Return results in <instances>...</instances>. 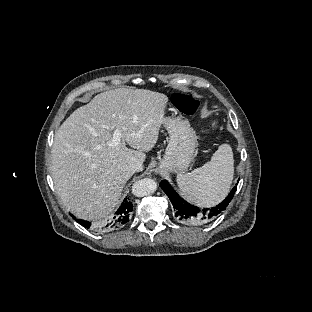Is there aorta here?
I'll list each match as a JSON object with an SVG mask.
<instances>
[{
  "label": "aorta",
  "mask_w": 312,
  "mask_h": 312,
  "mask_svg": "<svg viewBox=\"0 0 312 312\" xmlns=\"http://www.w3.org/2000/svg\"><path fill=\"white\" fill-rule=\"evenodd\" d=\"M157 189V183L150 178H144L135 182L132 186V193L136 197H144L154 193Z\"/></svg>",
  "instance_id": "obj_1"
}]
</instances>
